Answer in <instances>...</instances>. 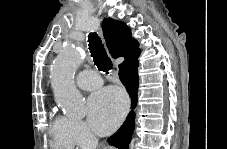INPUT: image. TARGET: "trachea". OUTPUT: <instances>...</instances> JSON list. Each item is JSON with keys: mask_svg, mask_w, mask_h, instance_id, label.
Here are the masks:
<instances>
[{"mask_svg": "<svg viewBox=\"0 0 227 149\" xmlns=\"http://www.w3.org/2000/svg\"><path fill=\"white\" fill-rule=\"evenodd\" d=\"M89 50L95 65L99 70L109 73L113 71V65L111 59L107 56L106 50L102 41L97 33H89L88 35Z\"/></svg>", "mask_w": 227, "mask_h": 149, "instance_id": "trachea-1", "label": "trachea"}]
</instances>
